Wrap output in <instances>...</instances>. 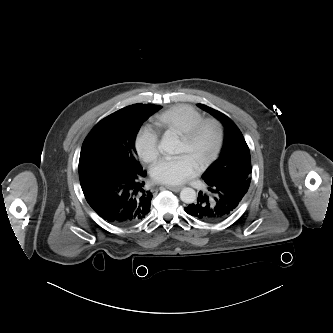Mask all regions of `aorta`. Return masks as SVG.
I'll return each mask as SVG.
<instances>
[{"label": "aorta", "instance_id": "obj_1", "mask_svg": "<svg viewBox=\"0 0 333 333\" xmlns=\"http://www.w3.org/2000/svg\"><path fill=\"white\" fill-rule=\"evenodd\" d=\"M158 149L168 154H179L181 152V142L174 136L165 135L158 145ZM180 199L187 204L194 203L196 201L195 190L189 187L182 189Z\"/></svg>", "mask_w": 333, "mask_h": 333}]
</instances>
